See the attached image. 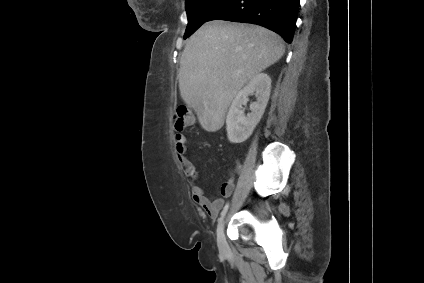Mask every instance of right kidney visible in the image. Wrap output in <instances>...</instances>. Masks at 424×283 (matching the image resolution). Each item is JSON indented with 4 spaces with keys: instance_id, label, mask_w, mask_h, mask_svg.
<instances>
[{
    "instance_id": "obj_1",
    "label": "right kidney",
    "mask_w": 424,
    "mask_h": 283,
    "mask_svg": "<svg viewBox=\"0 0 424 283\" xmlns=\"http://www.w3.org/2000/svg\"><path fill=\"white\" fill-rule=\"evenodd\" d=\"M271 91V79L266 73L255 75L233 99L226 117L227 136L232 143L247 140L259 123L267 106ZM255 93L257 101L250 105L251 112L244 114L243 106L248 96Z\"/></svg>"
}]
</instances>
